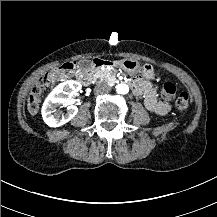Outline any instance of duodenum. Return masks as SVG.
I'll return each instance as SVG.
<instances>
[{"label": "duodenum", "mask_w": 217, "mask_h": 217, "mask_svg": "<svg viewBox=\"0 0 217 217\" xmlns=\"http://www.w3.org/2000/svg\"><path fill=\"white\" fill-rule=\"evenodd\" d=\"M118 65L117 61L114 60H108V59H103V58H95L92 62L91 65V69L88 70L87 72H85L82 76H81V81L84 84H89L91 83L92 79H93V69L95 68H100V67H115ZM130 85L132 87L133 90H136L139 88V83L137 81H131Z\"/></svg>", "instance_id": "obj_1"}]
</instances>
